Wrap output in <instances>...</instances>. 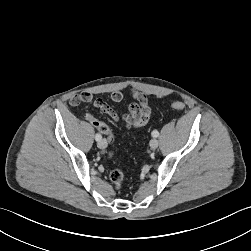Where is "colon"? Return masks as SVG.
<instances>
[{
	"label": "colon",
	"instance_id": "5ec220e1",
	"mask_svg": "<svg viewBox=\"0 0 251 251\" xmlns=\"http://www.w3.org/2000/svg\"><path fill=\"white\" fill-rule=\"evenodd\" d=\"M171 108L177 111H181L185 108V104L181 101H175L171 104ZM83 116L91 125L97 128L103 134H105L109 142H113L114 136L107 124L102 121H99L91 113L86 112ZM108 155L111 157L113 155V152L109 151ZM109 177L116 189H120L122 187L124 181V172L121 168L118 167L112 170Z\"/></svg>",
	"mask_w": 251,
	"mask_h": 251
}]
</instances>
